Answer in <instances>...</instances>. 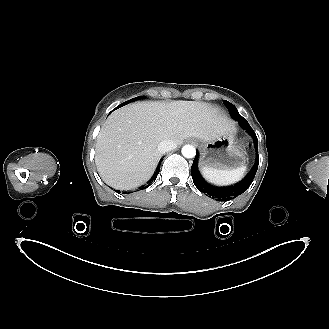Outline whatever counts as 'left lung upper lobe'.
Instances as JSON below:
<instances>
[{"instance_id":"obj_1","label":"left lung upper lobe","mask_w":329,"mask_h":329,"mask_svg":"<svg viewBox=\"0 0 329 329\" xmlns=\"http://www.w3.org/2000/svg\"><path fill=\"white\" fill-rule=\"evenodd\" d=\"M224 102H225V106L228 108V110H229V112H230V115H231L235 120L241 122V120H244V119H245V118H243V117L239 114L237 108H236L233 104H231L230 102H228V101H226V100H225Z\"/></svg>"}]
</instances>
